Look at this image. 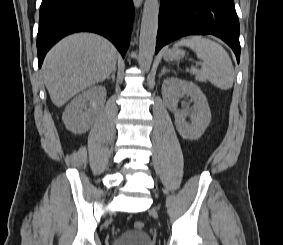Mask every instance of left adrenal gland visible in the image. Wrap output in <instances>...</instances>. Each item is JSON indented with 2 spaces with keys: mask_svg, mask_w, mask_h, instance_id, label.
<instances>
[{
  "mask_svg": "<svg viewBox=\"0 0 283 245\" xmlns=\"http://www.w3.org/2000/svg\"><path fill=\"white\" fill-rule=\"evenodd\" d=\"M169 70L168 69H166V67L164 66L163 68H162V71H161V73H160V76H162L165 72H168Z\"/></svg>",
  "mask_w": 283,
  "mask_h": 245,
  "instance_id": "obj_1",
  "label": "left adrenal gland"
}]
</instances>
